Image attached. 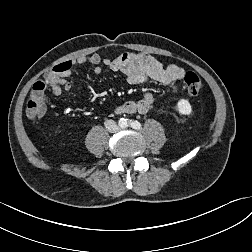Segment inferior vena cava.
<instances>
[{"mask_svg":"<svg viewBox=\"0 0 252 252\" xmlns=\"http://www.w3.org/2000/svg\"><path fill=\"white\" fill-rule=\"evenodd\" d=\"M105 128L110 132V133H116L119 131V126L116 124L115 121L113 120H107L104 123Z\"/></svg>","mask_w":252,"mask_h":252,"instance_id":"inferior-vena-cava-1","label":"inferior vena cava"}]
</instances>
